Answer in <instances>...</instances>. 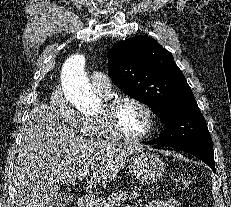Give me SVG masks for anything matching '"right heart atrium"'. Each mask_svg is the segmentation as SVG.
<instances>
[{"label": "right heart atrium", "mask_w": 231, "mask_h": 207, "mask_svg": "<svg viewBox=\"0 0 231 207\" xmlns=\"http://www.w3.org/2000/svg\"><path fill=\"white\" fill-rule=\"evenodd\" d=\"M50 106L61 123L81 130L83 117L71 107L60 89H55L51 93Z\"/></svg>", "instance_id": "right-heart-atrium-1"}]
</instances>
